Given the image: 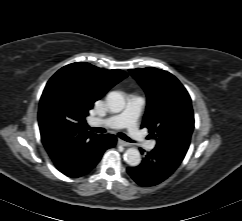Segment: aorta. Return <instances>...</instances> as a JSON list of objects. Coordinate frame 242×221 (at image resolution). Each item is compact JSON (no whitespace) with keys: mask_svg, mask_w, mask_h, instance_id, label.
Wrapping results in <instances>:
<instances>
[{"mask_svg":"<svg viewBox=\"0 0 242 221\" xmlns=\"http://www.w3.org/2000/svg\"><path fill=\"white\" fill-rule=\"evenodd\" d=\"M108 108L113 113H119L125 108V98L121 92L112 91L106 97ZM124 160L132 167L138 166L141 162L140 152L136 148H128L124 153Z\"/></svg>","mask_w":242,"mask_h":221,"instance_id":"aorta-1","label":"aorta"}]
</instances>
